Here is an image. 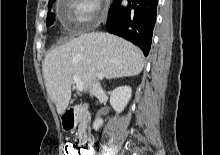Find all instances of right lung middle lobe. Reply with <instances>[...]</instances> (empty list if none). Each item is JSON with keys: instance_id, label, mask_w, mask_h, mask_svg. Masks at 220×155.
I'll return each instance as SVG.
<instances>
[{"instance_id": "right-lung-middle-lobe-1", "label": "right lung middle lobe", "mask_w": 220, "mask_h": 155, "mask_svg": "<svg viewBox=\"0 0 220 155\" xmlns=\"http://www.w3.org/2000/svg\"><path fill=\"white\" fill-rule=\"evenodd\" d=\"M54 1L49 3V7L54 3ZM54 17H55V15L53 13H51L49 10V12L47 14V26L51 25L54 22V20H55Z\"/></svg>"}]
</instances>
